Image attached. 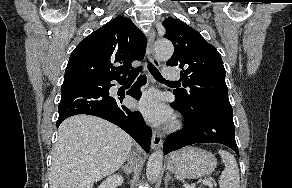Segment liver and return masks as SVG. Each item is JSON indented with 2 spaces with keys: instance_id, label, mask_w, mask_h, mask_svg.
Listing matches in <instances>:
<instances>
[{
  "instance_id": "6515ba94",
  "label": "liver",
  "mask_w": 292,
  "mask_h": 188,
  "mask_svg": "<svg viewBox=\"0 0 292 188\" xmlns=\"http://www.w3.org/2000/svg\"><path fill=\"white\" fill-rule=\"evenodd\" d=\"M133 139L114 124L75 115L58 129L49 173L50 188H92L129 157Z\"/></svg>"
}]
</instances>
